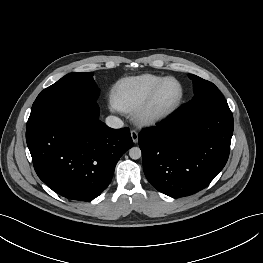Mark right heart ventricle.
Listing matches in <instances>:
<instances>
[{
    "mask_svg": "<svg viewBox=\"0 0 263 263\" xmlns=\"http://www.w3.org/2000/svg\"><path fill=\"white\" fill-rule=\"evenodd\" d=\"M165 77L143 74L119 80L112 88L111 100L116 109L134 112L150 95L154 87Z\"/></svg>",
    "mask_w": 263,
    "mask_h": 263,
    "instance_id": "1",
    "label": "right heart ventricle"
}]
</instances>
